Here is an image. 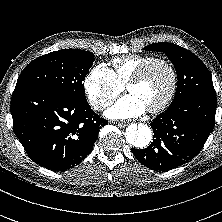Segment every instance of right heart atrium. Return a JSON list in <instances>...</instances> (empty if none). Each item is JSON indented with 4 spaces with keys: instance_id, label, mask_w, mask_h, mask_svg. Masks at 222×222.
I'll use <instances>...</instances> for the list:
<instances>
[{
    "instance_id": "obj_1",
    "label": "right heart atrium",
    "mask_w": 222,
    "mask_h": 222,
    "mask_svg": "<svg viewBox=\"0 0 222 222\" xmlns=\"http://www.w3.org/2000/svg\"><path fill=\"white\" fill-rule=\"evenodd\" d=\"M90 105L97 111L106 109L123 90L113 71L105 64L94 66L84 80Z\"/></svg>"
}]
</instances>
